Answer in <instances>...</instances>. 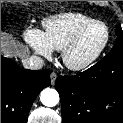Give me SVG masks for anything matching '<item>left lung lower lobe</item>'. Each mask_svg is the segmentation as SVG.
<instances>
[{"instance_id": "0a47b994", "label": "left lung lower lobe", "mask_w": 123, "mask_h": 123, "mask_svg": "<svg viewBox=\"0 0 123 123\" xmlns=\"http://www.w3.org/2000/svg\"><path fill=\"white\" fill-rule=\"evenodd\" d=\"M63 123H123V50L76 76H59Z\"/></svg>"}]
</instances>
